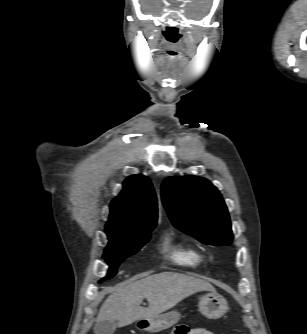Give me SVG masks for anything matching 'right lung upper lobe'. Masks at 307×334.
<instances>
[{
	"label": "right lung upper lobe",
	"instance_id": "cb5924a9",
	"mask_svg": "<svg viewBox=\"0 0 307 334\" xmlns=\"http://www.w3.org/2000/svg\"><path fill=\"white\" fill-rule=\"evenodd\" d=\"M156 222L157 199L149 178L141 174L128 177L122 192L110 204L107 235L154 228Z\"/></svg>",
	"mask_w": 307,
	"mask_h": 334
}]
</instances>
